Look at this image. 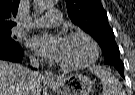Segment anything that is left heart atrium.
Masks as SVG:
<instances>
[{"label":"left heart atrium","mask_w":135,"mask_h":95,"mask_svg":"<svg viewBox=\"0 0 135 95\" xmlns=\"http://www.w3.org/2000/svg\"><path fill=\"white\" fill-rule=\"evenodd\" d=\"M66 38L60 35L44 34L33 37L29 45L40 56L60 61L62 58Z\"/></svg>","instance_id":"obj_1"}]
</instances>
